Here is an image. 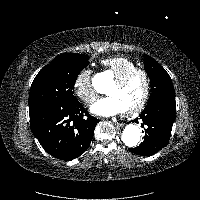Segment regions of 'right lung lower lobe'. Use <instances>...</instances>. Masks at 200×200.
<instances>
[{"label": "right lung lower lobe", "mask_w": 200, "mask_h": 200, "mask_svg": "<svg viewBox=\"0 0 200 200\" xmlns=\"http://www.w3.org/2000/svg\"><path fill=\"white\" fill-rule=\"evenodd\" d=\"M29 116L31 130L45 151L65 161L86 151L99 122L78 100L70 104H34L29 106Z\"/></svg>", "instance_id": "obj_1"}]
</instances>
